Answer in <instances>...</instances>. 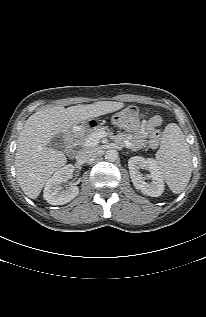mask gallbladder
Here are the masks:
<instances>
[{
  "mask_svg": "<svg viewBox=\"0 0 206 317\" xmlns=\"http://www.w3.org/2000/svg\"><path fill=\"white\" fill-rule=\"evenodd\" d=\"M50 148L57 150V151H62L64 152L66 150V142L64 139V135L63 134H58L56 136H54L49 145Z\"/></svg>",
  "mask_w": 206,
  "mask_h": 317,
  "instance_id": "bac80fb5",
  "label": "gallbladder"
}]
</instances>
